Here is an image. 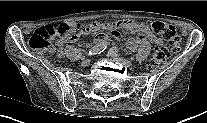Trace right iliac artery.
Listing matches in <instances>:
<instances>
[{
    "label": "right iliac artery",
    "instance_id": "82829eb1",
    "mask_svg": "<svg viewBox=\"0 0 207 123\" xmlns=\"http://www.w3.org/2000/svg\"><path fill=\"white\" fill-rule=\"evenodd\" d=\"M107 45L106 44H97L96 46L92 47L87 55L91 56V55H97L100 54L101 52H103L104 50H106Z\"/></svg>",
    "mask_w": 207,
    "mask_h": 123
}]
</instances>
